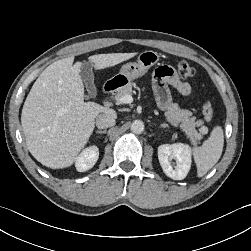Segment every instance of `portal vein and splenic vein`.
<instances>
[{
  "instance_id": "portal-vein-and-splenic-vein-1",
  "label": "portal vein and splenic vein",
  "mask_w": 251,
  "mask_h": 251,
  "mask_svg": "<svg viewBox=\"0 0 251 251\" xmlns=\"http://www.w3.org/2000/svg\"><path fill=\"white\" fill-rule=\"evenodd\" d=\"M116 104H130L133 101V97L131 95H125L120 99H115Z\"/></svg>"
}]
</instances>
